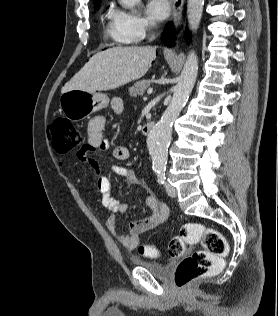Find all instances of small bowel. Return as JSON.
Returning a JSON list of instances; mask_svg holds the SVG:
<instances>
[{"mask_svg": "<svg viewBox=\"0 0 278 316\" xmlns=\"http://www.w3.org/2000/svg\"><path fill=\"white\" fill-rule=\"evenodd\" d=\"M111 108L116 115H121L124 109L123 101L120 98H113ZM105 127L106 118L102 115L95 116L89 121L87 142L78 151L77 156L82 162L87 164L95 174L97 188L101 194L102 205L110 213L106 220L107 229L116 236L126 249L134 250L139 244L140 234L159 227L166 222L169 209L165 203L161 202L155 194L146 187L144 181L136 177L133 169L121 165H114L111 168L112 174L125 177L129 182L146 188L145 203L150 211V214L146 218L129 222L126 232L121 233L118 231L115 215L117 213H125L130 207V204L127 202H119L112 197L110 178L102 171L98 159L94 156V152L107 151L110 149V143L104 137ZM112 155L118 161H125L129 158L130 151L126 146L118 145L113 148Z\"/></svg>", "mask_w": 278, "mask_h": 316, "instance_id": "obj_1", "label": "small bowel"}]
</instances>
